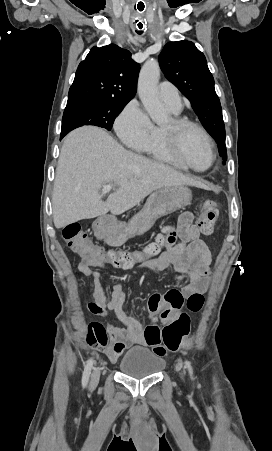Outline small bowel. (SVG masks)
Returning a JSON list of instances; mask_svg holds the SVG:
<instances>
[{
    "instance_id": "1",
    "label": "small bowel",
    "mask_w": 272,
    "mask_h": 451,
    "mask_svg": "<svg viewBox=\"0 0 272 451\" xmlns=\"http://www.w3.org/2000/svg\"><path fill=\"white\" fill-rule=\"evenodd\" d=\"M164 233L165 236H159L157 241L165 246V251L158 257L144 262L143 268L172 271L176 274V282L185 280L190 282L181 290L172 289L164 294L156 292L150 295L148 309L151 315L159 314L160 318L167 322L178 315L190 295H200L208 289L212 254L200 238L201 231L193 223L191 212L182 213L175 224L165 228ZM92 263L91 270H83L81 273L92 280L94 300L86 305L87 312L106 318L109 310L114 311L125 326L124 328L112 324L107 326L111 344L104 348V353L110 362L115 363L127 347L133 344H146L144 334L147 329L124 310L127 288L115 272L113 275L117 278V282L110 295L106 294L102 274L95 267L110 270L109 262L92 257Z\"/></svg>"
}]
</instances>
